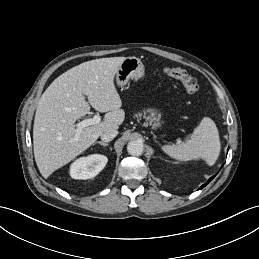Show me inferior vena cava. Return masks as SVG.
<instances>
[{"label": "inferior vena cava", "mask_w": 259, "mask_h": 259, "mask_svg": "<svg viewBox=\"0 0 259 259\" xmlns=\"http://www.w3.org/2000/svg\"><path fill=\"white\" fill-rule=\"evenodd\" d=\"M117 134L118 131L116 129H108L101 134V139L104 142H109L113 140L117 136Z\"/></svg>", "instance_id": "obj_1"}]
</instances>
